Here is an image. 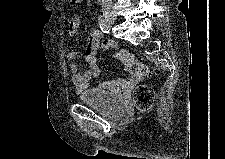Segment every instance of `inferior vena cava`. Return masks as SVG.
<instances>
[{
    "mask_svg": "<svg viewBox=\"0 0 225 159\" xmlns=\"http://www.w3.org/2000/svg\"><path fill=\"white\" fill-rule=\"evenodd\" d=\"M102 6H111L112 5V0H102L101 1Z\"/></svg>",
    "mask_w": 225,
    "mask_h": 159,
    "instance_id": "obj_1",
    "label": "inferior vena cava"
}]
</instances>
